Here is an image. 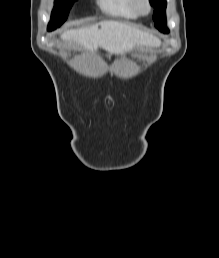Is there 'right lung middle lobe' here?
Wrapping results in <instances>:
<instances>
[{"instance_id":"1","label":"right lung middle lobe","mask_w":219,"mask_h":258,"mask_svg":"<svg viewBox=\"0 0 219 258\" xmlns=\"http://www.w3.org/2000/svg\"><path fill=\"white\" fill-rule=\"evenodd\" d=\"M76 0H57L51 14V20L48 24V31L60 27L67 19L69 10Z\"/></svg>"}]
</instances>
